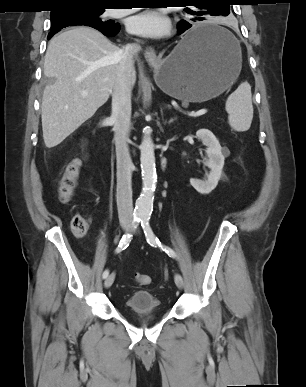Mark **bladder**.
I'll list each match as a JSON object with an SVG mask.
<instances>
[{"label": "bladder", "mask_w": 306, "mask_h": 387, "mask_svg": "<svg viewBox=\"0 0 306 387\" xmlns=\"http://www.w3.org/2000/svg\"><path fill=\"white\" fill-rule=\"evenodd\" d=\"M124 306L133 316L143 314L161 315L163 307L161 301L148 291H137L130 295Z\"/></svg>", "instance_id": "1"}]
</instances>
